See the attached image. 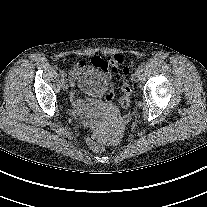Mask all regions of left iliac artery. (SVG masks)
Here are the masks:
<instances>
[{"mask_svg": "<svg viewBox=\"0 0 207 207\" xmlns=\"http://www.w3.org/2000/svg\"><path fill=\"white\" fill-rule=\"evenodd\" d=\"M143 70H144V65H140V66L138 67V71H139V72H143Z\"/></svg>", "mask_w": 207, "mask_h": 207, "instance_id": "1", "label": "left iliac artery"}]
</instances>
